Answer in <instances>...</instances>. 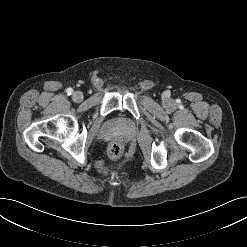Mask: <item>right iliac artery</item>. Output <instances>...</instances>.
I'll return each instance as SVG.
<instances>
[{"instance_id": "right-iliac-artery-1", "label": "right iliac artery", "mask_w": 247, "mask_h": 247, "mask_svg": "<svg viewBox=\"0 0 247 247\" xmlns=\"http://www.w3.org/2000/svg\"><path fill=\"white\" fill-rule=\"evenodd\" d=\"M66 92H67L68 95H71L73 93V89L72 88H68L66 90Z\"/></svg>"}]
</instances>
